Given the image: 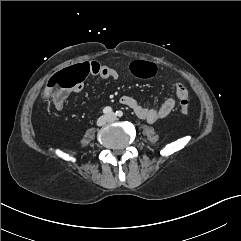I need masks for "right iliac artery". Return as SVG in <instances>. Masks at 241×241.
<instances>
[{"mask_svg":"<svg viewBox=\"0 0 241 241\" xmlns=\"http://www.w3.org/2000/svg\"><path fill=\"white\" fill-rule=\"evenodd\" d=\"M112 112V108L111 107H105L104 109H103V113L104 114H110Z\"/></svg>","mask_w":241,"mask_h":241,"instance_id":"obj_1","label":"right iliac artery"}]
</instances>
